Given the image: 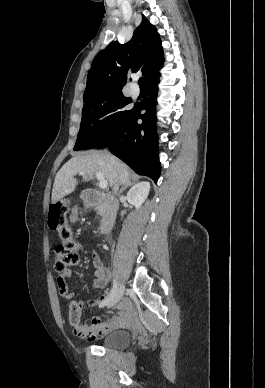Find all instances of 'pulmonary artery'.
Masks as SVG:
<instances>
[{
	"instance_id": "obj_1",
	"label": "pulmonary artery",
	"mask_w": 265,
	"mask_h": 388,
	"mask_svg": "<svg viewBox=\"0 0 265 388\" xmlns=\"http://www.w3.org/2000/svg\"><path fill=\"white\" fill-rule=\"evenodd\" d=\"M130 94H131L132 96H135V95L137 94V92H136V90H133V89H132V90L130 91Z\"/></svg>"
}]
</instances>
